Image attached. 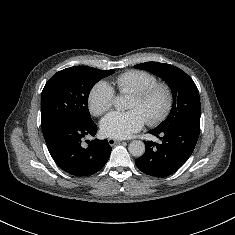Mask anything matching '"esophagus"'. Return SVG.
Here are the masks:
<instances>
[{"mask_svg": "<svg viewBox=\"0 0 235 235\" xmlns=\"http://www.w3.org/2000/svg\"><path fill=\"white\" fill-rule=\"evenodd\" d=\"M121 141L120 140H116V139H114V138H109L108 139V143H109V145H111V146H114V145H116V144H118V143H120Z\"/></svg>", "mask_w": 235, "mask_h": 235, "instance_id": "esophagus-1", "label": "esophagus"}]
</instances>
